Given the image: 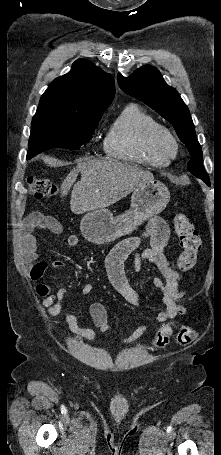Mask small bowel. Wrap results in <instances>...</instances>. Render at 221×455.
Segmentation results:
<instances>
[{"mask_svg":"<svg viewBox=\"0 0 221 455\" xmlns=\"http://www.w3.org/2000/svg\"><path fill=\"white\" fill-rule=\"evenodd\" d=\"M37 229H44L54 234H60L63 231V227L57 219L44 213H32L25 220L20 235V247L24 262L31 266L33 280L39 279L48 269H58L65 265L63 261L35 262L38 258L35 236ZM144 237L148 239L149 246L143 249L139 247L140 237H131L117 244L106 256L105 268L112 286L122 298L132 305H138L140 296L128 282L125 262L128 258H132L136 272L140 271L143 262H149L158 273V277L153 279V285L161 292V300L164 305V308L158 312L156 320L158 323H164L184 315L187 311L181 302L184 293L179 285L180 275L164 254V249L169 242L170 230L161 218L156 217L151 219ZM78 243L77 235L68 236L67 244L69 246H76ZM92 289V284L85 283L81 293L86 296ZM35 290L38 295L42 296L41 302L47 313L50 316H56L63 312L68 327L79 339L94 340L97 332L106 333L113 329L108 321L105 307L101 303L94 302L90 306L93 328H83L63 302L67 289L62 288L52 292L49 285L38 283ZM148 327V324L140 325L125 337L122 343L129 344L136 341L148 330Z\"/></svg>","mask_w":221,"mask_h":455,"instance_id":"obj_1","label":"small bowel"}]
</instances>
